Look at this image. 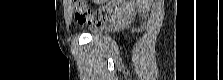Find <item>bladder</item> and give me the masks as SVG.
<instances>
[{"label": "bladder", "mask_w": 223, "mask_h": 80, "mask_svg": "<svg viewBox=\"0 0 223 80\" xmlns=\"http://www.w3.org/2000/svg\"><path fill=\"white\" fill-rule=\"evenodd\" d=\"M105 28H106L105 25H98V26L93 27L90 32L92 35H97V34L102 33L105 30Z\"/></svg>", "instance_id": "bladder-1"}]
</instances>
